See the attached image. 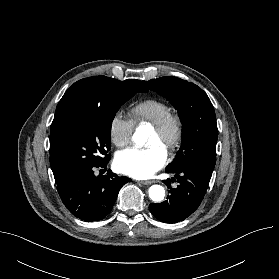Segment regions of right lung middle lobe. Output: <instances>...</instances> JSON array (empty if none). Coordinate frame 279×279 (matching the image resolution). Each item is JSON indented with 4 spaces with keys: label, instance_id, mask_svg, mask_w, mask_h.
I'll return each instance as SVG.
<instances>
[{
    "label": "right lung middle lobe",
    "instance_id": "dd1d6c3e",
    "mask_svg": "<svg viewBox=\"0 0 279 279\" xmlns=\"http://www.w3.org/2000/svg\"><path fill=\"white\" fill-rule=\"evenodd\" d=\"M100 102L87 99L70 104L52 123L50 152L64 177L87 166L109 162L110 129L120 106L140 90L129 85L103 84Z\"/></svg>",
    "mask_w": 279,
    "mask_h": 279
}]
</instances>
